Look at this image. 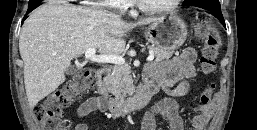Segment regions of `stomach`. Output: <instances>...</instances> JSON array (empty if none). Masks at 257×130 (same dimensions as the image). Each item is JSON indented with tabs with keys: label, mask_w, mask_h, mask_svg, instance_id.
I'll use <instances>...</instances> for the list:
<instances>
[{
	"label": "stomach",
	"mask_w": 257,
	"mask_h": 130,
	"mask_svg": "<svg viewBox=\"0 0 257 130\" xmlns=\"http://www.w3.org/2000/svg\"><path fill=\"white\" fill-rule=\"evenodd\" d=\"M144 33L147 40L156 47L174 50L184 43L187 26L176 14H168L157 18Z\"/></svg>",
	"instance_id": "0dacf381"
}]
</instances>
